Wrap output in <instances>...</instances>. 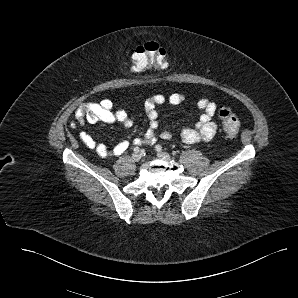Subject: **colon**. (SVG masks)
<instances>
[{
    "mask_svg": "<svg viewBox=\"0 0 298 298\" xmlns=\"http://www.w3.org/2000/svg\"><path fill=\"white\" fill-rule=\"evenodd\" d=\"M168 60L166 51L156 42H146L133 49L131 68L135 72H145L149 69H164ZM223 129L229 138H235L240 130V122L235 113L227 108L219 109Z\"/></svg>",
    "mask_w": 298,
    "mask_h": 298,
    "instance_id": "1",
    "label": "colon"
}]
</instances>
